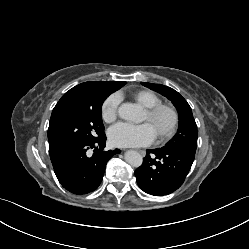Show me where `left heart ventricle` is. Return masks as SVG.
I'll list each match as a JSON object with an SVG mask.
<instances>
[{
	"label": "left heart ventricle",
	"mask_w": 249,
	"mask_h": 249,
	"mask_svg": "<svg viewBox=\"0 0 249 249\" xmlns=\"http://www.w3.org/2000/svg\"><path fill=\"white\" fill-rule=\"evenodd\" d=\"M144 120L149 121L146 112L144 114ZM169 121H170L169 115L167 113H161L155 120L149 121V123L154 128L155 133L158 134L167 127Z\"/></svg>",
	"instance_id": "1"
}]
</instances>
